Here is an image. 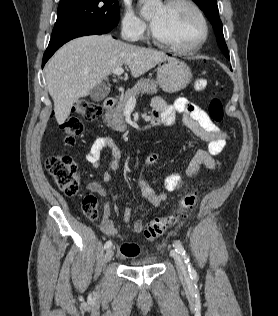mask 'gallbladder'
<instances>
[{
  "mask_svg": "<svg viewBox=\"0 0 278 316\" xmlns=\"http://www.w3.org/2000/svg\"><path fill=\"white\" fill-rule=\"evenodd\" d=\"M110 92V89L103 85H97L95 88H93L90 92V97L92 100L99 102L102 101Z\"/></svg>",
  "mask_w": 278,
  "mask_h": 316,
  "instance_id": "bac80fb5",
  "label": "gallbladder"
}]
</instances>
